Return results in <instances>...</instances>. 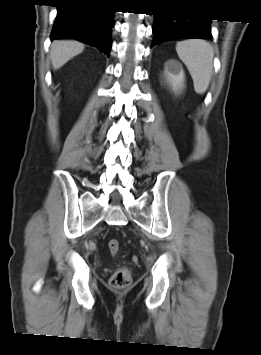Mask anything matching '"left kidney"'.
<instances>
[{
    "instance_id": "left-kidney-1",
    "label": "left kidney",
    "mask_w": 261,
    "mask_h": 355,
    "mask_svg": "<svg viewBox=\"0 0 261 355\" xmlns=\"http://www.w3.org/2000/svg\"><path fill=\"white\" fill-rule=\"evenodd\" d=\"M165 77L167 82L171 85L172 90L177 93L184 87L185 83V75L184 71L181 69L178 74H172L169 72H165Z\"/></svg>"
}]
</instances>
